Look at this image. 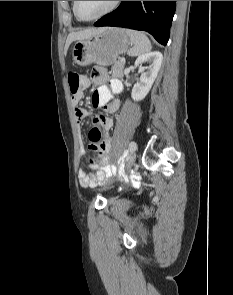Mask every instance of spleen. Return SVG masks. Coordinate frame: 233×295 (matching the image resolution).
Instances as JSON below:
<instances>
[{
  "label": "spleen",
  "mask_w": 233,
  "mask_h": 295,
  "mask_svg": "<svg viewBox=\"0 0 233 295\" xmlns=\"http://www.w3.org/2000/svg\"><path fill=\"white\" fill-rule=\"evenodd\" d=\"M126 33L133 44L128 51L129 56L135 57L151 50L150 40L143 32L127 29Z\"/></svg>",
  "instance_id": "obj_1"
}]
</instances>
